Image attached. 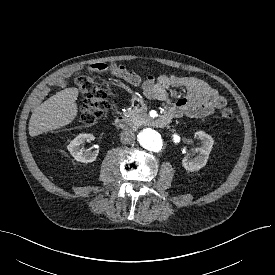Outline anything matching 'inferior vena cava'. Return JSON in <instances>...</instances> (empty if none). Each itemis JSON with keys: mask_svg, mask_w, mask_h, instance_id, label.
Returning <instances> with one entry per match:
<instances>
[{"mask_svg": "<svg viewBox=\"0 0 275 275\" xmlns=\"http://www.w3.org/2000/svg\"><path fill=\"white\" fill-rule=\"evenodd\" d=\"M120 140L124 144H130L135 140V134L132 130L126 129L120 135Z\"/></svg>", "mask_w": 275, "mask_h": 275, "instance_id": "1", "label": "inferior vena cava"}]
</instances>
